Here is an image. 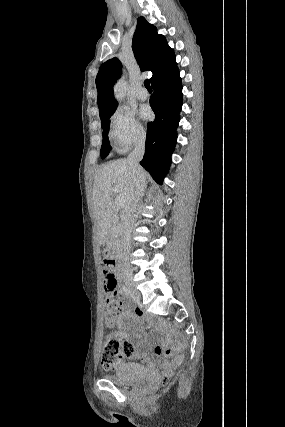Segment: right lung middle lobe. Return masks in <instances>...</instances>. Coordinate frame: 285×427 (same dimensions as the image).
Returning <instances> with one entry per match:
<instances>
[{"instance_id":"right-lung-middle-lobe-1","label":"right lung middle lobe","mask_w":285,"mask_h":427,"mask_svg":"<svg viewBox=\"0 0 285 427\" xmlns=\"http://www.w3.org/2000/svg\"><path fill=\"white\" fill-rule=\"evenodd\" d=\"M109 117H107L106 119L101 121V126L104 129L103 131V142H102V146H101V157L104 158L108 155L109 150L111 149L110 144L108 142V131H109V127H110V123H109Z\"/></svg>"}]
</instances>
